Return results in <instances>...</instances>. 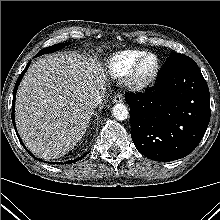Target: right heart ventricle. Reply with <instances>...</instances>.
<instances>
[{
  "label": "right heart ventricle",
  "mask_w": 220,
  "mask_h": 220,
  "mask_svg": "<svg viewBox=\"0 0 220 220\" xmlns=\"http://www.w3.org/2000/svg\"><path fill=\"white\" fill-rule=\"evenodd\" d=\"M146 51L129 49L111 55L106 62V67L111 76L121 78L125 76L138 58Z\"/></svg>",
  "instance_id": "obj_1"
}]
</instances>
